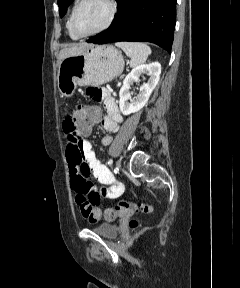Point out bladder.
Here are the masks:
<instances>
[{"label":"bladder","instance_id":"obj_1","mask_svg":"<svg viewBox=\"0 0 240 288\" xmlns=\"http://www.w3.org/2000/svg\"><path fill=\"white\" fill-rule=\"evenodd\" d=\"M92 230L99 236L107 239H114L119 232L118 226L110 223H102L93 227Z\"/></svg>","mask_w":240,"mask_h":288}]
</instances>
